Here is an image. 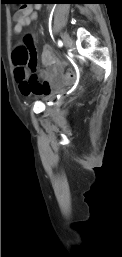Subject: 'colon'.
<instances>
[{"instance_id": "colon-1", "label": "colon", "mask_w": 122, "mask_h": 257, "mask_svg": "<svg viewBox=\"0 0 122 257\" xmlns=\"http://www.w3.org/2000/svg\"><path fill=\"white\" fill-rule=\"evenodd\" d=\"M11 10H20V5H11ZM13 60L18 67L28 65L33 71L36 66V55L33 49V41L30 35H26L23 45L17 47L13 52ZM74 68L66 67L64 75V85H74L78 83V73L74 72Z\"/></svg>"}]
</instances>
